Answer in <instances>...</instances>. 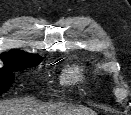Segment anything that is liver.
I'll return each instance as SVG.
<instances>
[{
    "label": "liver",
    "mask_w": 131,
    "mask_h": 115,
    "mask_svg": "<svg viewBox=\"0 0 131 115\" xmlns=\"http://www.w3.org/2000/svg\"><path fill=\"white\" fill-rule=\"evenodd\" d=\"M0 115H96L94 111L65 104H40L29 100L0 103Z\"/></svg>",
    "instance_id": "liver-1"
}]
</instances>
